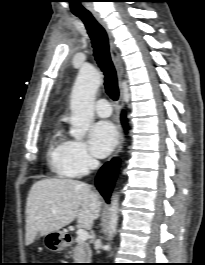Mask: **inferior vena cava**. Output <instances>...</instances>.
I'll return each mask as SVG.
<instances>
[{
    "instance_id": "602c4592",
    "label": "inferior vena cava",
    "mask_w": 205,
    "mask_h": 265,
    "mask_svg": "<svg viewBox=\"0 0 205 265\" xmlns=\"http://www.w3.org/2000/svg\"><path fill=\"white\" fill-rule=\"evenodd\" d=\"M99 165V161L98 160H96V159H92L91 160V162H90V166L92 167V168H95V167H97Z\"/></svg>"
}]
</instances>
